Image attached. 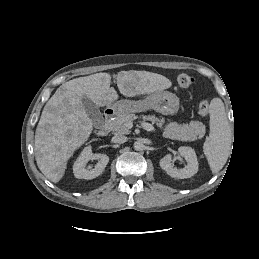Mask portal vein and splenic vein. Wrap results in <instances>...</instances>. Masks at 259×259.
Instances as JSON below:
<instances>
[{
  "mask_svg": "<svg viewBox=\"0 0 259 259\" xmlns=\"http://www.w3.org/2000/svg\"><path fill=\"white\" fill-rule=\"evenodd\" d=\"M141 125L147 131H155V128L150 123L142 122Z\"/></svg>",
  "mask_w": 259,
  "mask_h": 259,
  "instance_id": "obj_1",
  "label": "portal vein and splenic vein"
}]
</instances>
